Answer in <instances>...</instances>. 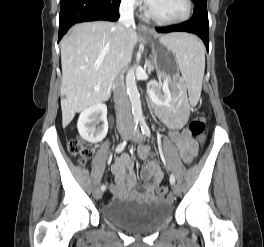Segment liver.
<instances>
[{"label": "liver", "instance_id": "obj_1", "mask_svg": "<svg viewBox=\"0 0 264 247\" xmlns=\"http://www.w3.org/2000/svg\"><path fill=\"white\" fill-rule=\"evenodd\" d=\"M137 40L135 29L105 21L80 23L70 29L61 41L63 127L76 112L109 99L117 72L130 63Z\"/></svg>", "mask_w": 264, "mask_h": 247}]
</instances>
